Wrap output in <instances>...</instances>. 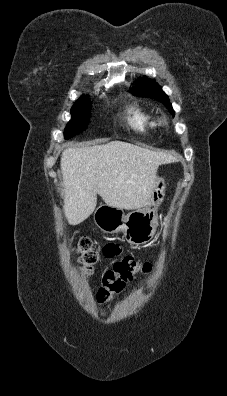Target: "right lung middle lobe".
Returning <instances> with one entry per match:
<instances>
[{
  "label": "right lung middle lobe",
  "instance_id": "dd1d6c3e",
  "mask_svg": "<svg viewBox=\"0 0 227 396\" xmlns=\"http://www.w3.org/2000/svg\"><path fill=\"white\" fill-rule=\"evenodd\" d=\"M90 102L88 98L81 97L71 109L72 119L65 128V138H70L86 129L90 115Z\"/></svg>",
  "mask_w": 227,
  "mask_h": 396
}]
</instances>
